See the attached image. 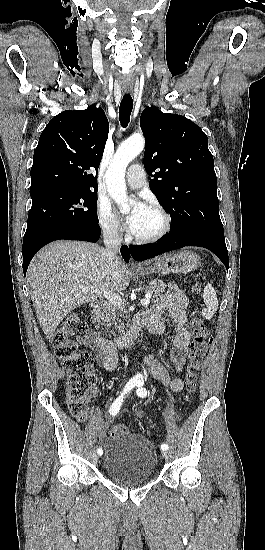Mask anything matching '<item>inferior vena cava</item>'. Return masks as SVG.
<instances>
[{"instance_id": "602c4592", "label": "inferior vena cava", "mask_w": 265, "mask_h": 550, "mask_svg": "<svg viewBox=\"0 0 265 550\" xmlns=\"http://www.w3.org/2000/svg\"><path fill=\"white\" fill-rule=\"evenodd\" d=\"M103 238L105 244L104 255L109 265H113L118 259L116 254L123 240L118 233L117 226L113 224L104 226Z\"/></svg>"}]
</instances>
